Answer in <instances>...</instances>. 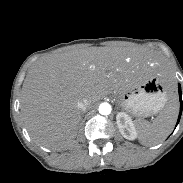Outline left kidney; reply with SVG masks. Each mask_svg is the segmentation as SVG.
I'll list each match as a JSON object with an SVG mask.
<instances>
[{"mask_svg": "<svg viewBox=\"0 0 183 183\" xmlns=\"http://www.w3.org/2000/svg\"><path fill=\"white\" fill-rule=\"evenodd\" d=\"M117 125L122 136L128 140L137 137V131L131 117L125 112H119L116 116Z\"/></svg>", "mask_w": 183, "mask_h": 183, "instance_id": "obj_1", "label": "left kidney"}]
</instances>
